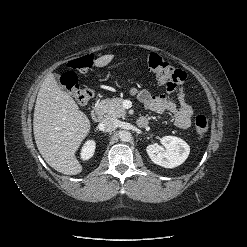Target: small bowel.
Masks as SVG:
<instances>
[{"label":"small bowel","instance_id":"small-bowel-1","mask_svg":"<svg viewBox=\"0 0 247 247\" xmlns=\"http://www.w3.org/2000/svg\"><path fill=\"white\" fill-rule=\"evenodd\" d=\"M182 85L183 82L168 86L166 94L152 95L145 89L138 90L136 88H132L130 92L147 110L155 113L166 111L172 113L176 127L180 130H187L191 126L193 108L186 100ZM173 95L176 96L177 101L174 100ZM145 119L147 120V118Z\"/></svg>","mask_w":247,"mask_h":247}]
</instances>
